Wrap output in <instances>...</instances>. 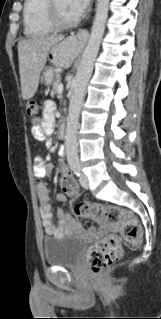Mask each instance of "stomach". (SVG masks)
Segmentation results:
<instances>
[{
    "label": "stomach",
    "instance_id": "0dacf381",
    "mask_svg": "<svg viewBox=\"0 0 161 319\" xmlns=\"http://www.w3.org/2000/svg\"><path fill=\"white\" fill-rule=\"evenodd\" d=\"M76 50L77 42L73 38H68L53 46L48 53V58L52 67L43 71L41 83L49 85L54 78V68L69 66Z\"/></svg>",
    "mask_w": 161,
    "mask_h": 319
}]
</instances>
